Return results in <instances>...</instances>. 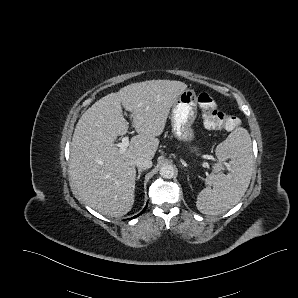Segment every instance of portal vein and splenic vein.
<instances>
[{
    "label": "portal vein and splenic vein",
    "mask_w": 298,
    "mask_h": 298,
    "mask_svg": "<svg viewBox=\"0 0 298 298\" xmlns=\"http://www.w3.org/2000/svg\"><path fill=\"white\" fill-rule=\"evenodd\" d=\"M129 145H130L129 137L128 136L123 137L122 141L117 144V147H119V152L123 154L126 151V149L129 147ZM203 158L208 160H213V161L215 160V158L212 155H203Z\"/></svg>",
    "instance_id": "1"
}]
</instances>
